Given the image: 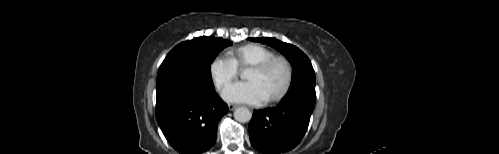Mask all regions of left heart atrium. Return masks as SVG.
Returning <instances> with one entry per match:
<instances>
[{"mask_svg": "<svg viewBox=\"0 0 499 154\" xmlns=\"http://www.w3.org/2000/svg\"><path fill=\"white\" fill-rule=\"evenodd\" d=\"M228 102L261 104L267 97L260 85L253 81L236 82L228 86L222 93Z\"/></svg>", "mask_w": 499, "mask_h": 154, "instance_id": "39dd6f15", "label": "left heart atrium"}]
</instances>
